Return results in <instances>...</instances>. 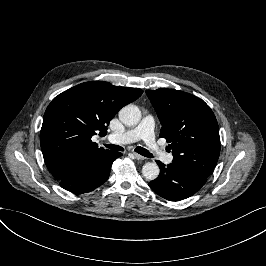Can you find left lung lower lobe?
Wrapping results in <instances>:
<instances>
[{"instance_id":"1","label":"left lung lower lobe","mask_w":266,"mask_h":266,"mask_svg":"<svg viewBox=\"0 0 266 266\" xmlns=\"http://www.w3.org/2000/svg\"><path fill=\"white\" fill-rule=\"evenodd\" d=\"M157 164L160 167V174L148 185L158 195L170 201H180L194 195L208 177L185 165L172 162L165 166L160 161H157Z\"/></svg>"}]
</instances>
